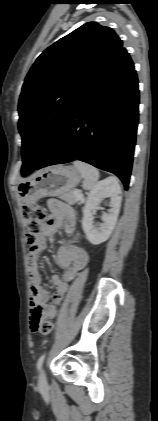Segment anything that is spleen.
Instances as JSON below:
<instances>
[{
	"label": "spleen",
	"instance_id": "obj_1",
	"mask_svg": "<svg viewBox=\"0 0 158 421\" xmlns=\"http://www.w3.org/2000/svg\"><path fill=\"white\" fill-rule=\"evenodd\" d=\"M73 165L84 178L83 188L86 190H92L99 179V171L97 168L79 160L74 161Z\"/></svg>",
	"mask_w": 158,
	"mask_h": 421
}]
</instances>
